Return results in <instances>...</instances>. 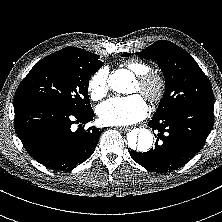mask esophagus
<instances>
[{
    "mask_svg": "<svg viewBox=\"0 0 222 222\" xmlns=\"http://www.w3.org/2000/svg\"><path fill=\"white\" fill-rule=\"evenodd\" d=\"M119 130L123 131V132H127L130 130L129 127H120Z\"/></svg>",
    "mask_w": 222,
    "mask_h": 222,
    "instance_id": "34e87169",
    "label": "esophagus"
}]
</instances>
